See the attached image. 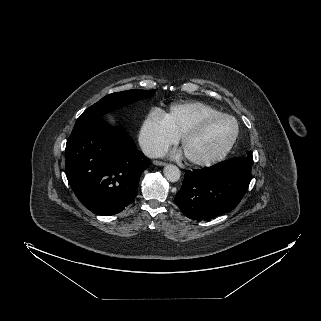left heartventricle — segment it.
I'll return each instance as SVG.
<instances>
[{
    "instance_id": "obj_1",
    "label": "left heart ventricle",
    "mask_w": 321,
    "mask_h": 321,
    "mask_svg": "<svg viewBox=\"0 0 321 321\" xmlns=\"http://www.w3.org/2000/svg\"><path fill=\"white\" fill-rule=\"evenodd\" d=\"M233 132L234 123L231 120H214L185 141L183 152L186 156L197 159L211 158L221 151Z\"/></svg>"
}]
</instances>
